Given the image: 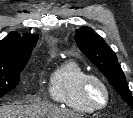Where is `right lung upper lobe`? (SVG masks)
I'll return each instance as SVG.
<instances>
[{
  "label": "right lung upper lobe",
  "instance_id": "cb5924a9",
  "mask_svg": "<svg viewBox=\"0 0 133 118\" xmlns=\"http://www.w3.org/2000/svg\"><path fill=\"white\" fill-rule=\"evenodd\" d=\"M37 41L38 35L21 36L17 32L9 33L0 41V66L27 63Z\"/></svg>",
  "mask_w": 133,
  "mask_h": 118
}]
</instances>
